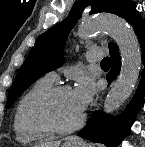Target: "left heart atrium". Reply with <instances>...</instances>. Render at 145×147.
Instances as JSON below:
<instances>
[{
    "label": "left heart atrium",
    "instance_id": "left-heart-atrium-1",
    "mask_svg": "<svg viewBox=\"0 0 145 147\" xmlns=\"http://www.w3.org/2000/svg\"><path fill=\"white\" fill-rule=\"evenodd\" d=\"M72 93L79 109L83 112L90 104L94 94L92 81L88 77H80Z\"/></svg>",
    "mask_w": 145,
    "mask_h": 147
}]
</instances>
